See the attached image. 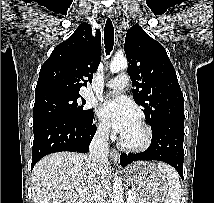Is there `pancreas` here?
I'll list each match as a JSON object with an SVG mask.
<instances>
[{
    "label": "pancreas",
    "instance_id": "pancreas-1",
    "mask_svg": "<svg viewBox=\"0 0 214 203\" xmlns=\"http://www.w3.org/2000/svg\"><path fill=\"white\" fill-rule=\"evenodd\" d=\"M131 194H132V196H133V199H135V193L132 192ZM133 203H135V201H134Z\"/></svg>",
    "mask_w": 214,
    "mask_h": 203
}]
</instances>
